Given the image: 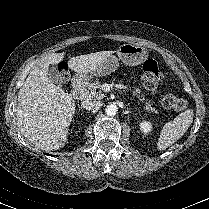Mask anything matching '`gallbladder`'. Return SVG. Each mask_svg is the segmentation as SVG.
I'll list each match as a JSON object with an SVG mask.
<instances>
[{
    "mask_svg": "<svg viewBox=\"0 0 209 209\" xmlns=\"http://www.w3.org/2000/svg\"><path fill=\"white\" fill-rule=\"evenodd\" d=\"M48 77L52 83L59 85V86L62 84L60 74L53 65L49 67Z\"/></svg>",
    "mask_w": 209,
    "mask_h": 209,
    "instance_id": "1",
    "label": "gallbladder"
}]
</instances>
